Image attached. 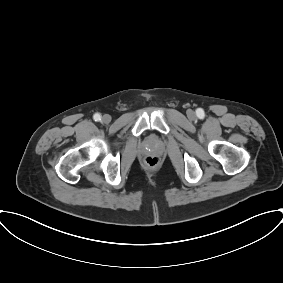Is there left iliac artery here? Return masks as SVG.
<instances>
[{
	"label": "left iliac artery",
	"instance_id": "obj_1",
	"mask_svg": "<svg viewBox=\"0 0 283 283\" xmlns=\"http://www.w3.org/2000/svg\"><path fill=\"white\" fill-rule=\"evenodd\" d=\"M197 116H198L199 118H203V117H204V111H203V109H198V110H197Z\"/></svg>",
	"mask_w": 283,
	"mask_h": 283
}]
</instances>
